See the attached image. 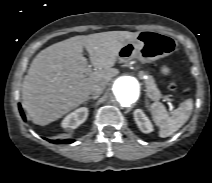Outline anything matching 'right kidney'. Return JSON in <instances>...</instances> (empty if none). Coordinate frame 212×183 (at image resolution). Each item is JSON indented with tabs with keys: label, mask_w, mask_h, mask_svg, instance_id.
<instances>
[{
	"label": "right kidney",
	"mask_w": 212,
	"mask_h": 183,
	"mask_svg": "<svg viewBox=\"0 0 212 183\" xmlns=\"http://www.w3.org/2000/svg\"><path fill=\"white\" fill-rule=\"evenodd\" d=\"M87 117H88V109L85 107H81L75 110L74 112L70 113L69 115H67L62 121L61 125L67 131H71L73 129H76L82 123H84Z\"/></svg>",
	"instance_id": "right-kidney-1"
}]
</instances>
